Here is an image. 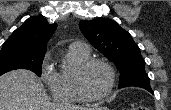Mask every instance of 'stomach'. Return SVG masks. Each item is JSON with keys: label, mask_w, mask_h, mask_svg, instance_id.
Segmentation results:
<instances>
[{"label": "stomach", "mask_w": 171, "mask_h": 110, "mask_svg": "<svg viewBox=\"0 0 171 110\" xmlns=\"http://www.w3.org/2000/svg\"><path fill=\"white\" fill-rule=\"evenodd\" d=\"M89 110H109V109L105 108V107H95V108H92V109H89Z\"/></svg>", "instance_id": "0dacf381"}]
</instances>
